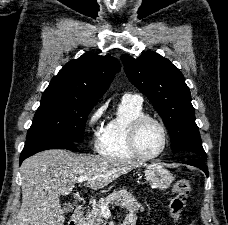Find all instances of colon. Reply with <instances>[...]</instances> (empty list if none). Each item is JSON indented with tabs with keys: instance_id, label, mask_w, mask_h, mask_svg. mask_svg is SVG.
Segmentation results:
<instances>
[{
	"instance_id": "obj_1",
	"label": "colon",
	"mask_w": 228,
	"mask_h": 225,
	"mask_svg": "<svg viewBox=\"0 0 228 225\" xmlns=\"http://www.w3.org/2000/svg\"><path fill=\"white\" fill-rule=\"evenodd\" d=\"M190 189L191 185L187 179H179L174 182L171 188L173 198L170 204V215L174 220L182 217Z\"/></svg>"
}]
</instances>
